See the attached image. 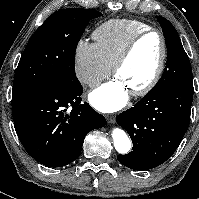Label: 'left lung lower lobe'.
<instances>
[{
    "label": "left lung lower lobe",
    "mask_w": 199,
    "mask_h": 199,
    "mask_svg": "<svg viewBox=\"0 0 199 199\" xmlns=\"http://www.w3.org/2000/svg\"><path fill=\"white\" fill-rule=\"evenodd\" d=\"M193 86H176L147 93L134 107L122 112L117 123L133 142V150L118 161L133 170L155 168L176 151L189 126Z\"/></svg>",
    "instance_id": "1"
}]
</instances>
